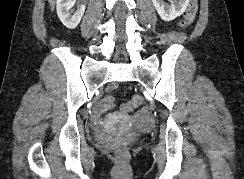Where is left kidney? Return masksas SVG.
Listing matches in <instances>:
<instances>
[{"label":"left kidney","instance_id":"1","mask_svg":"<svg viewBox=\"0 0 244 179\" xmlns=\"http://www.w3.org/2000/svg\"><path fill=\"white\" fill-rule=\"evenodd\" d=\"M152 2L164 22H171L181 16L189 4V0H175V2L169 0L171 4H164L163 0H152Z\"/></svg>","mask_w":244,"mask_h":179}]
</instances>
